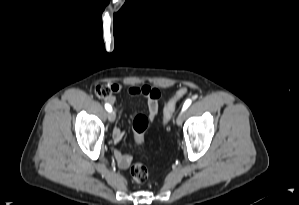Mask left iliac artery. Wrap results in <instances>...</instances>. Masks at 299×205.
Listing matches in <instances>:
<instances>
[{
	"mask_svg": "<svg viewBox=\"0 0 299 205\" xmlns=\"http://www.w3.org/2000/svg\"><path fill=\"white\" fill-rule=\"evenodd\" d=\"M191 103H192L191 99H187L183 105L181 112L185 111L191 105Z\"/></svg>",
	"mask_w": 299,
	"mask_h": 205,
	"instance_id": "left-iliac-artery-1",
	"label": "left iliac artery"
}]
</instances>
